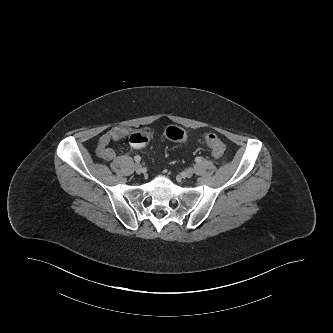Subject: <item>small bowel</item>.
Here are the masks:
<instances>
[{"instance_id":"obj_1","label":"small bowel","mask_w":333,"mask_h":333,"mask_svg":"<svg viewBox=\"0 0 333 333\" xmlns=\"http://www.w3.org/2000/svg\"><path fill=\"white\" fill-rule=\"evenodd\" d=\"M132 134V130L125 126H116L106 133H104L98 140V144L96 147V154L106 160L112 161L116 157L115 151L109 147V144L112 141L121 140L127 137H130Z\"/></svg>"}]
</instances>
